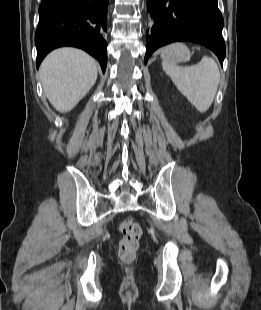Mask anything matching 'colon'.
Returning <instances> with one entry per match:
<instances>
[{
	"instance_id": "obj_1",
	"label": "colon",
	"mask_w": 261,
	"mask_h": 310,
	"mask_svg": "<svg viewBox=\"0 0 261 310\" xmlns=\"http://www.w3.org/2000/svg\"><path fill=\"white\" fill-rule=\"evenodd\" d=\"M122 238L119 242V258L127 263L132 262L139 249L142 227L133 219H125L120 223Z\"/></svg>"
}]
</instances>
